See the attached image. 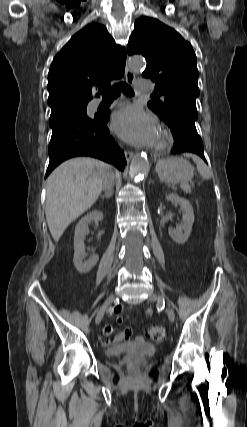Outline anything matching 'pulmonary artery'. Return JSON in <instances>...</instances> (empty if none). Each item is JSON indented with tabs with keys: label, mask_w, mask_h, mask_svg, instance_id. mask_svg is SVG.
Here are the masks:
<instances>
[{
	"label": "pulmonary artery",
	"mask_w": 247,
	"mask_h": 427,
	"mask_svg": "<svg viewBox=\"0 0 247 427\" xmlns=\"http://www.w3.org/2000/svg\"><path fill=\"white\" fill-rule=\"evenodd\" d=\"M137 91L146 92L152 89V85L148 81H140L136 86Z\"/></svg>",
	"instance_id": "pulmonary-artery-1"
}]
</instances>
